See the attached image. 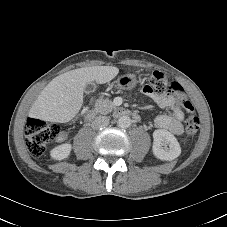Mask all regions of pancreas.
Masks as SVG:
<instances>
[{"label":"pancreas","mask_w":227,"mask_h":227,"mask_svg":"<svg viewBox=\"0 0 227 227\" xmlns=\"http://www.w3.org/2000/svg\"><path fill=\"white\" fill-rule=\"evenodd\" d=\"M113 108L115 105L109 99L99 98L95 103V111L100 114H108Z\"/></svg>","instance_id":"obj_1"}]
</instances>
